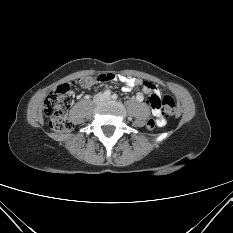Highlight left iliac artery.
<instances>
[{
	"label": "left iliac artery",
	"mask_w": 233,
	"mask_h": 233,
	"mask_svg": "<svg viewBox=\"0 0 233 233\" xmlns=\"http://www.w3.org/2000/svg\"><path fill=\"white\" fill-rule=\"evenodd\" d=\"M112 98H113L114 100H116V99L118 98V95H117V94H113V95H112Z\"/></svg>",
	"instance_id": "44dca946"
}]
</instances>
